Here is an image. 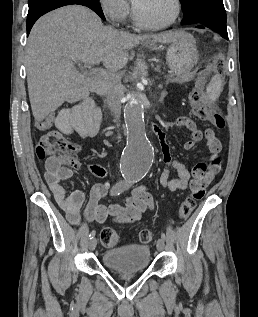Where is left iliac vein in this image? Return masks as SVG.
<instances>
[{
    "label": "left iliac vein",
    "mask_w": 258,
    "mask_h": 317,
    "mask_svg": "<svg viewBox=\"0 0 258 317\" xmlns=\"http://www.w3.org/2000/svg\"><path fill=\"white\" fill-rule=\"evenodd\" d=\"M166 243H165V241L163 240V238H158V243H157V252L159 253L160 251H163V250H165L164 248H165V245Z\"/></svg>",
    "instance_id": "obj_1"
}]
</instances>
